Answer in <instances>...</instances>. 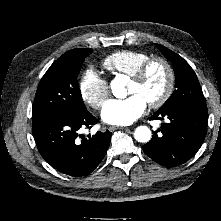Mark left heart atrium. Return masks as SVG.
<instances>
[{
  "label": "left heart atrium",
  "mask_w": 221,
  "mask_h": 221,
  "mask_svg": "<svg viewBox=\"0 0 221 221\" xmlns=\"http://www.w3.org/2000/svg\"><path fill=\"white\" fill-rule=\"evenodd\" d=\"M147 102L139 94L125 99H111L103 106L101 118L111 125H130L145 112Z\"/></svg>",
  "instance_id": "left-heart-atrium-1"
}]
</instances>
